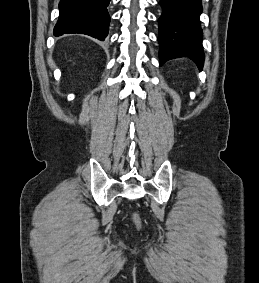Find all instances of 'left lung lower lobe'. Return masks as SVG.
<instances>
[{
  "label": "left lung lower lobe",
  "mask_w": 259,
  "mask_h": 283,
  "mask_svg": "<svg viewBox=\"0 0 259 283\" xmlns=\"http://www.w3.org/2000/svg\"><path fill=\"white\" fill-rule=\"evenodd\" d=\"M160 5V66L171 59L188 57L202 70L205 56L199 20L201 0H160Z\"/></svg>",
  "instance_id": "0a47b994"
}]
</instances>
